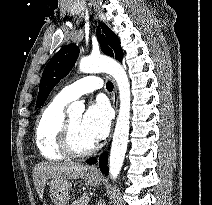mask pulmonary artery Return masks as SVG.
I'll list each match as a JSON object with an SVG mask.
<instances>
[{
    "label": "pulmonary artery",
    "instance_id": "e3ab8cb5",
    "mask_svg": "<svg viewBox=\"0 0 212 205\" xmlns=\"http://www.w3.org/2000/svg\"><path fill=\"white\" fill-rule=\"evenodd\" d=\"M101 87V79L96 75H90L64 87L57 96L66 102H71L83 94L91 93Z\"/></svg>",
    "mask_w": 212,
    "mask_h": 205
}]
</instances>
